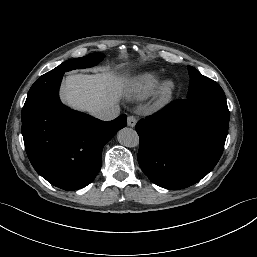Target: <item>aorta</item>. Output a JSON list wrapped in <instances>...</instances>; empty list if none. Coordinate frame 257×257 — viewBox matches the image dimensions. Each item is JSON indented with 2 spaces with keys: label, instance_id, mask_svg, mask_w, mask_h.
<instances>
[{
  "label": "aorta",
  "instance_id": "1",
  "mask_svg": "<svg viewBox=\"0 0 257 257\" xmlns=\"http://www.w3.org/2000/svg\"><path fill=\"white\" fill-rule=\"evenodd\" d=\"M117 139L120 144L126 147H136L139 145V136L132 128L125 127L121 129L117 134Z\"/></svg>",
  "mask_w": 257,
  "mask_h": 257
}]
</instances>
